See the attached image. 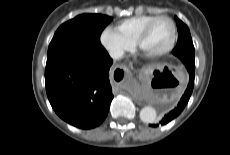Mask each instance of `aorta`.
I'll return each instance as SVG.
<instances>
[{"instance_id": "aorta-1", "label": "aorta", "mask_w": 230, "mask_h": 155, "mask_svg": "<svg viewBox=\"0 0 230 155\" xmlns=\"http://www.w3.org/2000/svg\"><path fill=\"white\" fill-rule=\"evenodd\" d=\"M140 119L144 123H154L157 119V112L151 106H145L140 111Z\"/></svg>"}]
</instances>
